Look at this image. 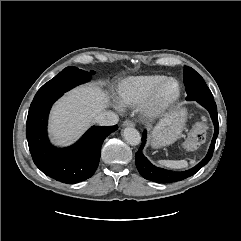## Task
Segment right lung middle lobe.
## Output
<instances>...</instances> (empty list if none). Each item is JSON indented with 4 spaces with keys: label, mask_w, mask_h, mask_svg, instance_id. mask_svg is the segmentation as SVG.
<instances>
[{
    "label": "right lung middle lobe",
    "mask_w": 241,
    "mask_h": 241,
    "mask_svg": "<svg viewBox=\"0 0 241 241\" xmlns=\"http://www.w3.org/2000/svg\"><path fill=\"white\" fill-rule=\"evenodd\" d=\"M94 71H83L76 67H67L53 79L44 84L36 93L34 100L62 95L75 86L91 79Z\"/></svg>",
    "instance_id": "right-lung-middle-lobe-1"
}]
</instances>
